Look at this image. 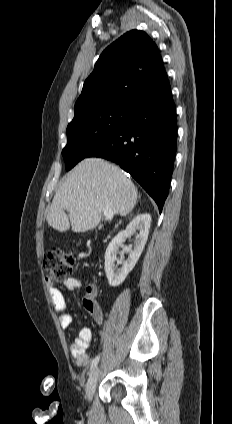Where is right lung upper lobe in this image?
<instances>
[{"label":"right lung upper lobe","mask_w":232,"mask_h":424,"mask_svg":"<svg viewBox=\"0 0 232 424\" xmlns=\"http://www.w3.org/2000/svg\"><path fill=\"white\" fill-rule=\"evenodd\" d=\"M167 78L157 45L143 31L125 33L100 55L75 104V115L98 105L132 106Z\"/></svg>","instance_id":"cb5924a9"}]
</instances>
